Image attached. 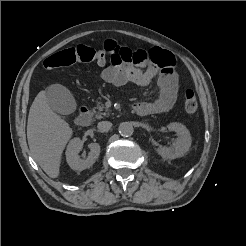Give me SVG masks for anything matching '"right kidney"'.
I'll return each instance as SVG.
<instances>
[{"instance_id":"1","label":"right kidney","mask_w":246,"mask_h":246,"mask_svg":"<svg viewBox=\"0 0 246 246\" xmlns=\"http://www.w3.org/2000/svg\"><path fill=\"white\" fill-rule=\"evenodd\" d=\"M90 153L86 159L79 157V152L83 148V142L80 138H74L70 141L66 150V159L68 165L74 170H85L90 168L98 159L100 154V145L98 143H90L88 145Z\"/></svg>"}]
</instances>
